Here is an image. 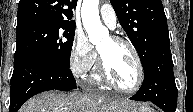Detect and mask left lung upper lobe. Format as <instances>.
I'll return each instance as SVG.
<instances>
[{"instance_id": "left-lung-upper-lobe-1", "label": "left lung upper lobe", "mask_w": 193, "mask_h": 112, "mask_svg": "<svg viewBox=\"0 0 193 112\" xmlns=\"http://www.w3.org/2000/svg\"><path fill=\"white\" fill-rule=\"evenodd\" d=\"M144 67L153 53L170 43L161 0H110Z\"/></svg>"}]
</instances>
